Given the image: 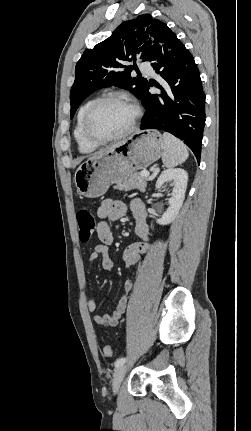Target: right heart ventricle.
<instances>
[{
    "mask_svg": "<svg viewBox=\"0 0 251 431\" xmlns=\"http://www.w3.org/2000/svg\"><path fill=\"white\" fill-rule=\"evenodd\" d=\"M94 101L95 99H89L85 103H83L79 108L77 117H76V123L74 127V138L77 143L78 150L83 154L91 153L98 148V145L91 144L85 139L82 131V123H83L84 115Z\"/></svg>",
    "mask_w": 251,
    "mask_h": 431,
    "instance_id": "obj_1",
    "label": "right heart ventricle"
}]
</instances>
